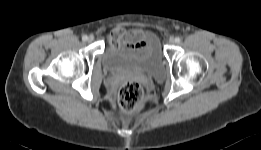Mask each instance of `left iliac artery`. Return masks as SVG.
I'll list each match as a JSON object with an SVG mask.
<instances>
[{"instance_id":"44dca946","label":"left iliac artery","mask_w":261,"mask_h":150,"mask_svg":"<svg viewBox=\"0 0 261 150\" xmlns=\"http://www.w3.org/2000/svg\"><path fill=\"white\" fill-rule=\"evenodd\" d=\"M175 42H176V43H180V42H181V38H180V37H176V38H175Z\"/></svg>"}]
</instances>
